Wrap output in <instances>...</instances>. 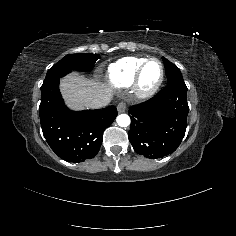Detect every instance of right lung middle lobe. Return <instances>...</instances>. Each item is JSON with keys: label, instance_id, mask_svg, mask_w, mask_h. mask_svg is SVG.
Segmentation results:
<instances>
[{"label": "right lung middle lobe", "instance_id": "1", "mask_svg": "<svg viewBox=\"0 0 236 236\" xmlns=\"http://www.w3.org/2000/svg\"><path fill=\"white\" fill-rule=\"evenodd\" d=\"M98 54H69L62 58L57 64L51 67L46 77L60 73H69L72 70L77 71H91L94 67L95 61L99 59Z\"/></svg>", "mask_w": 236, "mask_h": 236}]
</instances>
